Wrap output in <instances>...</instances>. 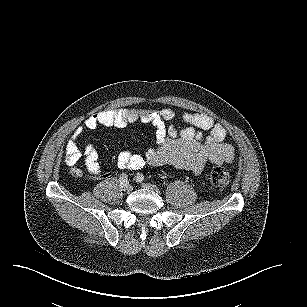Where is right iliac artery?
<instances>
[{
    "label": "right iliac artery",
    "mask_w": 307,
    "mask_h": 307,
    "mask_svg": "<svg viewBox=\"0 0 307 307\" xmlns=\"http://www.w3.org/2000/svg\"><path fill=\"white\" fill-rule=\"evenodd\" d=\"M128 185V179L127 175L123 174L122 177L120 178V186L121 188L126 187Z\"/></svg>",
    "instance_id": "obj_1"
}]
</instances>
